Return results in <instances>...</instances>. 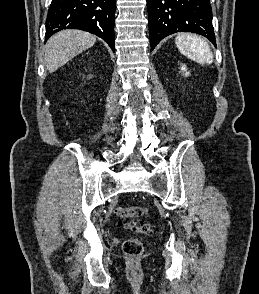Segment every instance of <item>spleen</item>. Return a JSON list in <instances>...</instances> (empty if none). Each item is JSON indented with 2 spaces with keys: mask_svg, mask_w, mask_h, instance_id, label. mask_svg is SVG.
I'll use <instances>...</instances> for the list:
<instances>
[{
  "mask_svg": "<svg viewBox=\"0 0 259 294\" xmlns=\"http://www.w3.org/2000/svg\"><path fill=\"white\" fill-rule=\"evenodd\" d=\"M175 44L180 53L201 65L213 62V53L208 43L197 35L179 34L175 38Z\"/></svg>",
  "mask_w": 259,
  "mask_h": 294,
  "instance_id": "1",
  "label": "spleen"
}]
</instances>
